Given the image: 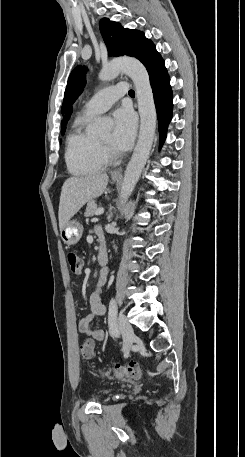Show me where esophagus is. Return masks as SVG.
<instances>
[{
    "label": "esophagus",
    "instance_id": "esophagus-1",
    "mask_svg": "<svg viewBox=\"0 0 245 457\" xmlns=\"http://www.w3.org/2000/svg\"><path fill=\"white\" fill-rule=\"evenodd\" d=\"M122 175H123L122 167L117 168L116 170H114V171L111 173V176L122 177Z\"/></svg>",
    "mask_w": 245,
    "mask_h": 457
}]
</instances>
